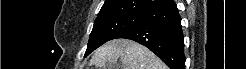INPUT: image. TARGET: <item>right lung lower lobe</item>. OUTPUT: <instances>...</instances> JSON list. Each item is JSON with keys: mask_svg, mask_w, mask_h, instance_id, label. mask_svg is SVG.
I'll list each match as a JSON object with an SVG mask.
<instances>
[{"mask_svg": "<svg viewBox=\"0 0 246 69\" xmlns=\"http://www.w3.org/2000/svg\"><path fill=\"white\" fill-rule=\"evenodd\" d=\"M117 38L134 40L153 51L171 69H184L181 18L173 0L142 14V20Z\"/></svg>", "mask_w": 246, "mask_h": 69, "instance_id": "1", "label": "right lung lower lobe"}]
</instances>
